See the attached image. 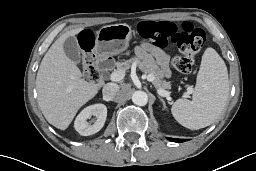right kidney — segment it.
<instances>
[{"mask_svg":"<svg viewBox=\"0 0 256 171\" xmlns=\"http://www.w3.org/2000/svg\"><path fill=\"white\" fill-rule=\"evenodd\" d=\"M96 116L93 124L88 123L91 116ZM107 117V107L104 104H94L83 109L76 117L74 127L82 136H89L97 133L104 126Z\"/></svg>","mask_w":256,"mask_h":171,"instance_id":"ca27d5eb","label":"right kidney"}]
</instances>
